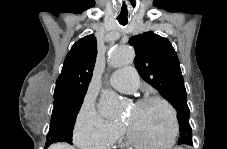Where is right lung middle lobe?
<instances>
[{
  "instance_id": "dd1d6c3e",
  "label": "right lung middle lobe",
  "mask_w": 227,
  "mask_h": 149,
  "mask_svg": "<svg viewBox=\"0 0 227 149\" xmlns=\"http://www.w3.org/2000/svg\"><path fill=\"white\" fill-rule=\"evenodd\" d=\"M83 98H61L54 100L46 147L56 142L72 143L73 127Z\"/></svg>"
}]
</instances>
